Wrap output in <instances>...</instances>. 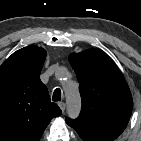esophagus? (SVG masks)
Masks as SVG:
<instances>
[{"instance_id":"esophagus-1","label":"esophagus","mask_w":141,"mask_h":141,"mask_svg":"<svg viewBox=\"0 0 141 141\" xmlns=\"http://www.w3.org/2000/svg\"><path fill=\"white\" fill-rule=\"evenodd\" d=\"M60 109L62 110V112L64 113L65 109H66V104L64 102H59L58 103Z\"/></svg>"}]
</instances>
